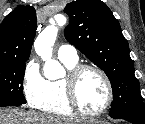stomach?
<instances>
[{
    "label": "stomach",
    "instance_id": "0dacf381",
    "mask_svg": "<svg viewBox=\"0 0 145 124\" xmlns=\"http://www.w3.org/2000/svg\"><path fill=\"white\" fill-rule=\"evenodd\" d=\"M82 124H104L102 121H87L85 123Z\"/></svg>",
    "mask_w": 145,
    "mask_h": 124
}]
</instances>
